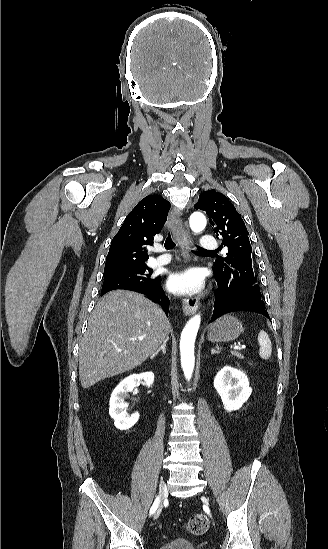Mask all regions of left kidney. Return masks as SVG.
<instances>
[{
    "label": "left kidney",
    "mask_w": 328,
    "mask_h": 549,
    "mask_svg": "<svg viewBox=\"0 0 328 549\" xmlns=\"http://www.w3.org/2000/svg\"><path fill=\"white\" fill-rule=\"evenodd\" d=\"M214 387L221 397L225 411H228V413L241 409L243 403L248 401L252 393L245 373L239 371V369H233L229 365H226L217 373L214 379Z\"/></svg>",
    "instance_id": "obj_1"
}]
</instances>
